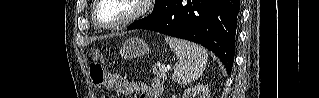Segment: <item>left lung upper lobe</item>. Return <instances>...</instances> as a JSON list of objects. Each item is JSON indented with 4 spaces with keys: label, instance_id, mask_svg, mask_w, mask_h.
<instances>
[{
    "label": "left lung upper lobe",
    "instance_id": "obj_1",
    "mask_svg": "<svg viewBox=\"0 0 319 98\" xmlns=\"http://www.w3.org/2000/svg\"><path fill=\"white\" fill-rule=\"evenodd\" d=\"M165 0H156L155 1V6H154V10L153 12L146 18L139 20L137 22H134V25H138V26H144V25H148L151 24L152 22L156 21L157 19H159L162 14H163V3Z\"/></svg>",
    "mask_w": 319,
    "mask_h": 98
}]
</instances>
